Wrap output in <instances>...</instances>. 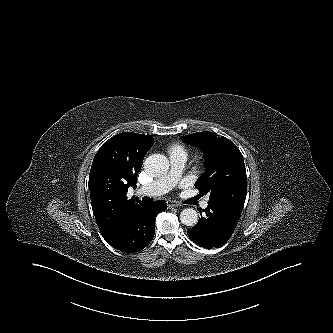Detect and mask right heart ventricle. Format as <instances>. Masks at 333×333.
<instances>
[{"label":"right heart ventricle","mask_w":333,"mask_h":333,"mask_svg":"<svg viewBox=\"0 0 333 333\" xmlns=\"http://www.w3.org/2000/svg\"><path fill=\"white\" fill-rule=\"evenodd\" d=\"M170 155L181 153L187 156V150L180 144H174L169 148Z\"/></svg>","instance_id":"1"}]
</instances>
